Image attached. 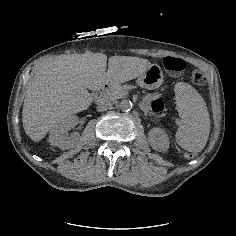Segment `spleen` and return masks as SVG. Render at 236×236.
I'll return each mask as SVG.
<instances>
[{"mask_svg":"<svg viewBox=\"0 0 236 236\" xmlns=\"http://www.w3.org/2000/svg\"><path fill=\"white\" fill-rule=\"evenodd\" d=\"M176 101L181 118L176 132L177 144L189 152H200L205 148L210 134L207 105L200 93L188 84L176 87Z\"/></svg>","mask_w":236,"mask_h":236,"instance_id":"3e777b00","label":"spleen"}]
</instances>
